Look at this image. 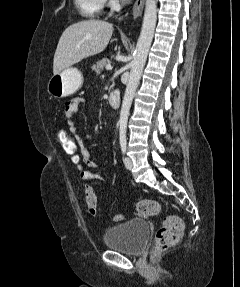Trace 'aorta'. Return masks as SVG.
I'll list each match as a JSON object with an SVG mask.
<instances>
[{"label": "aorta", "mask_w": 240, "mask_h": 287, "mask_svg": "<svg viewBox=\"0 0 240 287\" xmlns=\"http://www.w3.org/2000/svg\"><path fill=\"white\" fill-rule=\"evenodd\" d=\"M157 21V0H146L141 33L134 51V58L126 85L119 118V138L126 139L127 122L132 100L134 98L141 74L146 63L153 40Z\"/></svg>", "instance_id": "aorta-1"}]
</instances>
